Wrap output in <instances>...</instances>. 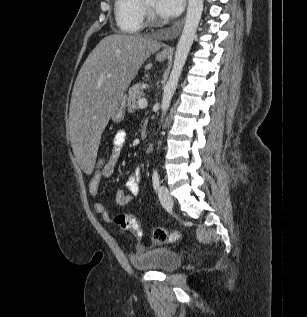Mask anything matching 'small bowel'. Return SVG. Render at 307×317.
<instances>
[{
	"label": "small bowel",
	"instance_id": "1",
	"mask_svg": "<svg viewBox=\"0 0 307 317\" xmlns=\"http://www.w3.org/2000/svg\"><path fill=\"white\" fill-rule=\"evenodd\" d=\"M127 135L124 130L116 132L113 138V149L106 165L100 170H94L89 181V193L91 196L96 197L99 190L100 181L104 177H110L115 172L121 152L125 147ZM142 178V170L139 166L134 167L132 173L129 175L125 182V189L117 192V202L121 206L130 204L134 197L140 193V182ZM94 210L100 214L106 222H111V216L106 210L103 203L97 201L94 203Z\"/></svg>",
	"mask_w": 307,
	"mask_h": 317
}]
</instances>
